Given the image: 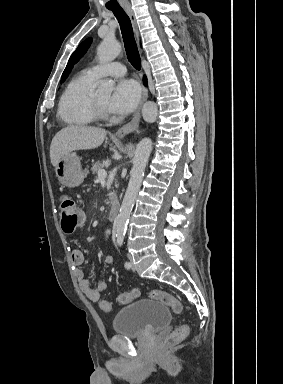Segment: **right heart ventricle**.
<instances>
[{
	"mask_svg": "<svg viewBox=\"0 0 283 384\" xmlns=\"http://www.w3.org/2000/svg\"><path fill=\"white\" fill-rule=\"evenodd\" d=\"M95 82L86 72L74 75L59 98L57 115L70 129H85L96 120L89 109V87Z\"/></svg>",
	"mask_w": 283,
	"mask_h": 384,
	"instance_id": "obj_1",
	"label": "right heart ventricle"
}]
</instances>
